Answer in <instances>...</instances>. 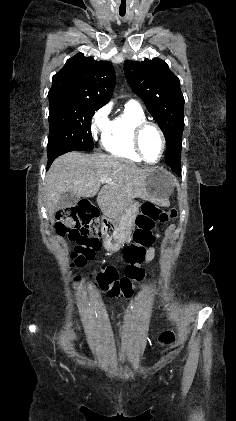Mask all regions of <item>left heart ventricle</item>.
I'll return each mask as SVG.
<instances>
[{"label":"left heart ventricle","instance_id":"b2bd125f","mask_svg":"<svg viewBox=\"0 0 236 421\" xmlns=\"http://www.w3.org/2000/svg\"><path fill=\"white\" fill-rule=\"evenodd\" d=\"M142 150L147 159L155 163L162 154V142L157 131L151 127L146 128L141 137Z\"/></svg>","mask_w":236,"mask_h":421}]
</instances>
